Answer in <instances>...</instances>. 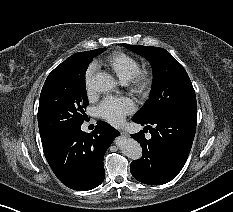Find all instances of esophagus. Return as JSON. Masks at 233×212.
<instances>
[{"mask_svg": "<svg viewBox=\"0 0 233 212\" xmlns=\"http://www.w3.org/2000/svg\"><path fill=\"white\" fill-rule=\"evenodd\" d=\"M121 135L127 137L129 136L128 133L125 130H120Z\"/></svg>", "mask_w": 233, "mask_h": 212, "instance_id": "34e87169", "label": "esophagus"}]
</instances>
